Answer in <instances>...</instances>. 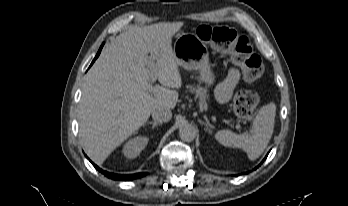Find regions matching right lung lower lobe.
<instances>
[{
    "label": "right lung lower lobe",
    "mask_w": 348,
    "mask_h": 206,
    "mask_svg": "<svg viewBox=\"0 0 348 206\" xmlns=\"http://www.w3.org/2000/svg\"><path fill=\"white\" fill-rule=\"evenodd\" d=\"M101 49H102V46L100 47L96 57L94 58L92 64L94 63V61L97 59V57L99 56L100 52H101ZM91 64V65H92ZM89 159V158H88ZM89 161L93 164V166L98 170L100 171L101 173H103L105 176H107L108 178H111V179H115V180H132V179H135V178H139V177H142V176H145L147 173H138V174H129V175H121V174H113V173H109V172H106L102 169H100L97 165H95L90 159Z\"/></svg>",
    "instance_id": "obj_1"
}]
</instances>
